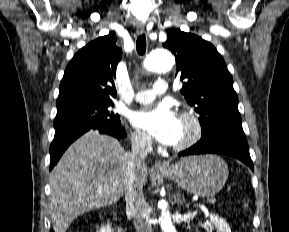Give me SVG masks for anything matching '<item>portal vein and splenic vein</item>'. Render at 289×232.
I'll return each mask as SVG.
<instances>
[{
  "label": "portal vein and splenic vein",
  "instance_id": "18ae733b",
  "mask_svg": "<svg viewBox=\"0 0 289 232\" xmlns=\"http://www.w3.org/2000/svg\"><path fill=\"white\" fill-rule=\"evenodd\" d=\"M101 190H98V192H100ZM194 201L197 200V198H193ZM216 202V199L215 198H210V199H207L206 203L208 204H214Z\"/></svg>",
  "mask_w": 289,
  "mask_h": 232
}]
</instances>
